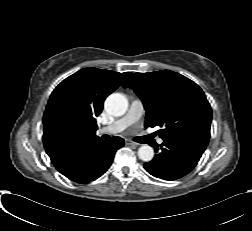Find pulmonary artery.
Wrapping results in <instances>:
<instances>
[{
  "label": "pulmonary artery",
  "mask_w": 252,
  "mask_h": 231,
  "mask_svg": "<svg viewBox=\"0 0 252 231\" xmlns=\"http://www.w3.org/2000/svg\"><path fill=\"white\" fill-rule=\"evenodd\" d=\"M144 113L143 103L139 99H134L128 108L127 113L120 119L114 121L107 127H103L99 130L100 133L115 134L125 130L128 126L136 123ZM158 144L163 143V139L157 140Z\"/></svg>",
  "instance_id": "pulmonary-artery-1"
}]
</instances>
